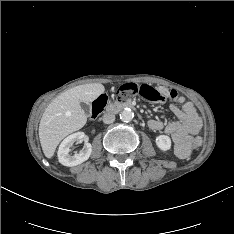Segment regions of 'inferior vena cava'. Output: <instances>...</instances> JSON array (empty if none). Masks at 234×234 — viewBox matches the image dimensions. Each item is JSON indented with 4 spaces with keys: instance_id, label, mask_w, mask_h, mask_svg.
I'll list each match as a JSON object with an SVG mask.
<instances>
[{
    "instance_id": "obj_1",
    "label": "inferior vena cava",
    "mask_w": 234,
    "mask_h": 234,
    "mask_svg": "<svg viewBox=\"0 0 234 234\" xmlns=\"http://www.w3.org/2000/svg\"><path fill=\"white\" fill-rule=\"evenodd\" d=\"M114 121H115V115L113 113L108 112L103 115V122L105 124H111Z\"/></svg>"
}]
</instances>
